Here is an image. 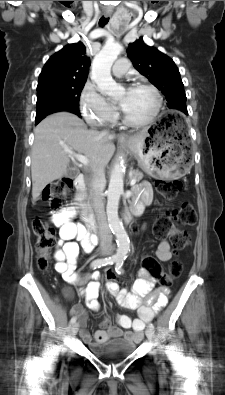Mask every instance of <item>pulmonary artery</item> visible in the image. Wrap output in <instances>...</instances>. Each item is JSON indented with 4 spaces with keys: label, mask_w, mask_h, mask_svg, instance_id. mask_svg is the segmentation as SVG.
Listing matches in <instances>:
<instances>
[{
    "label": "pulmonary artery",
    "mask_w": 225,
    "mask_h": 395,
    "mask_svg": "<svg viewBox=\"0 0 225 395\" xmlns=\"http://www.w3.org/2000/svg\"><path fill=\"white\" fill-rule=\"evenodd\" d=\"M129 68V62L125 58L118 59L112 68L113 75L117 77L123 76Z\"/></svg>",
    "instance_id": "e3ab8cb5"
}]
</instances>
